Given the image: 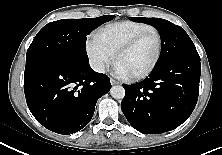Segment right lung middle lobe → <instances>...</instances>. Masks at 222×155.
Here are the masks:
<instances>
[{
	"label": "right lung middle lobe",
	"instance_id": "dd1d6c3e",
	"mask_svg": "<svg viewBox=\"0 0 222 155\" xmlns=\"http://www.w3.org/2000/svg\"><path fill=\"white\" fill-rule=\"evenodd\" d=\"M114 18L113 15H104L48 23L38 32L27 50L25 71L50 62H89L86 36L95 27Z\"/></svg>",
	"mask_w": 222,
	"mask_h": 155
}]
</instances>
